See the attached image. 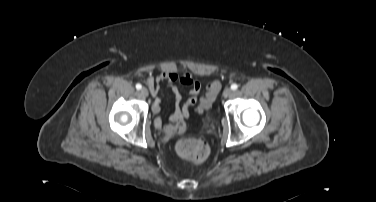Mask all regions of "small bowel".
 <instances>
[{"instance_id":"obj_1","label":"small bowel","mask_w":376,"mask_h":202,"mask_svg":"<svg viewBox=\"0 0 376 202\" xmlns=\"http://www.w3.org/2000/svg\"><path fill=\"white\" fill-rule=\"evenodd\" d=\"M167 82L172 89L175 97L174 111L170 116V121L175 124H182L183 120L190 115V108L194 106L198 100V95L201 90V83L194 79L190 74L186 73L179 76L172 70H166L157 75L156 77H148L146 79L147 86L151 95L154 97L152 109L156 114H159L161 109V92L160 83ZM180 83L189 88L188 99L183 103L180 89L177 86ZM162 119L160 116L156 118V127H161Z\"/></svg>"}]
</instances>
